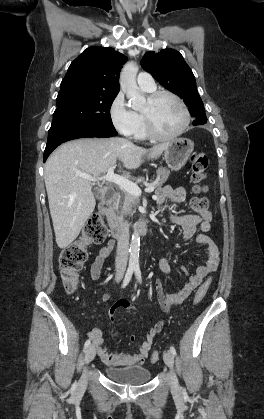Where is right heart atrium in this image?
I'll return each instance as SVG.
<instances>
[{
  "label": "right heart atrium",
  "instance_id": "obj_1",
  "mask_svg": "<svg viewBox=\"0 0 264 419\" xmlns=\"http://www.w3.org/2000/svg\"><path fill=\"white\" fill-rule=\"evenodd\" d=\"M111 121L116 130L124 136H133L137 129L136 113L128 106L123 92H119L109 108Z\"/></svg>",
  "mask_w": 264,
  "mask_h": 419
}]
</instances>
